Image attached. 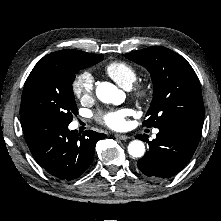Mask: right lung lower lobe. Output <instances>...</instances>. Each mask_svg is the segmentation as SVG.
<instances>
[{"instance_id": "1", "label": "right lung lower lobe", "mask_w": 221, "mask_h": 221, "mask_svg": "<svg viewBox=\"0 0 221 221\" xmlns=\"http://www.w3.org/2000/svg\"><path fill=\"white\" fill-rule=\"evenodd\" d=\"M23 133L35 160L51 175L73 180L91 165L97 141L105 134H77L66 122L40 114L20 116Z\"/></svg>"}]
</instances>
